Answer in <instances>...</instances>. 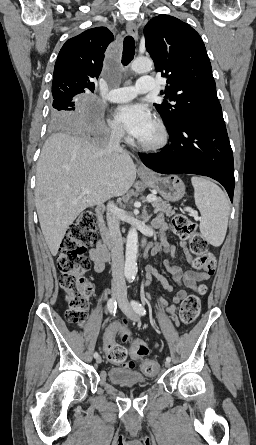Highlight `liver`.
Returning a JSON list of instances; mask_svg holds the SVG:
<instances>
[{
    "mask_svg": "<svg viewBox=\"0 0 256 445\" xmlns=\"http://www.w3.org/2000/svg\"><path fill=\"white\" fill-rule=\"evenodd\" d=\"M103 144L66 133L51 135L43 145L36 170V209L53 256L66 230L88 207L128 192L136 179L130 156H108ZM89 193L82 195V190Z\"/></svg>",
    "mask_w": 256,
    "mask_h": 445,
    "instance_id": "1",
    "label": "liver"
}]
</instances>
